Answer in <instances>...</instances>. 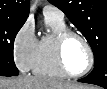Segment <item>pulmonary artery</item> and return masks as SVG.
I'll return each mask as SVG.
<instances>
[{
	"mask_svg": "<svg viewBox=\"0 0 107 89\" xmlns=\"http://www.w3.org/2000/svg\"><path fill=\"white\" fill-rule=\"evenodd\" d=\"M43 14L45 17H52L58 20H64L63 12L53 5L44 6Z\"/></svg>",
	"mask_w": 107,
	"mask_h": 89,
	"instance_id": "obj_1",
	"label": "pulmonary artery"
}]
</instances>
